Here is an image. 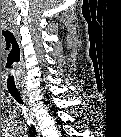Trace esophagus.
I'll list each match as a JSON object with an SVG mask.
<instances>
[{"instance_id":"esophagus-1","label":"esophagus","mask_w":121,"mask_h":137,"mask_svg":"<svg viewBox=\"0 0 121 137\" xmlns=\"http://www.w3.org/2000/svg\"><path fill=\"white\" fill-rule=\"evenodd\" d=\"M21 94H22L23 99H24L25 101H27V92H26V90L21 89ZM30 119L32 120L33 123H35L33 115L30 116Z\"/></svg>"}]
</instances>
